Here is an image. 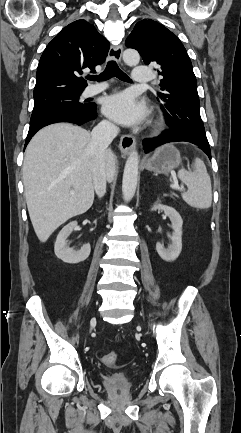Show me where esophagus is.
Here are the masks:
<instances>
[{
	"label": "esophagus",
	"mask_w": 241,
	"mask_h": 433,
	"mask_svg": "<svg viewBox=\"0 0 241 433\" xmlns=\"http://www.w3.org/2000/svg\"><path fill=\"white\" fill-rule=\"evenodd\" d=\"M123 47L122 45L111 46L108 57L111 60H115L118 63H121L122 59ZM135 145V138L132 135H122L120 137V150L124 155L129 154L132 148Z\"/></svg>",
	"instance_id": "esophagus-1"
}]
</instances>
